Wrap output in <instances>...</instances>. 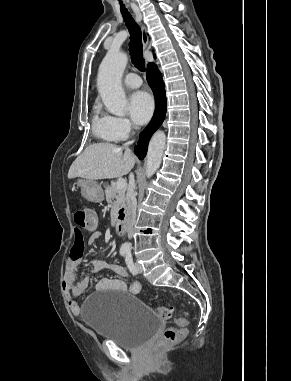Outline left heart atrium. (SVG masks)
<instances>
[{
    "instance_id": "39dd6f15",
    "label": "left heart atrium",
    "mask_w": 291,
    "mask_h": 381,
    "mask_svg": "<svg viewBox=\"0 0 291 381\" xmlns=\"http://www.w3.org/2000/svg\"><path fill=\"white\" fill-rule=\"evenodd\" d=\"M154 110L151 96L144 91H137L129 98V111L137 124H145L150 119Z\"/></svg>"
}]
</instances>
